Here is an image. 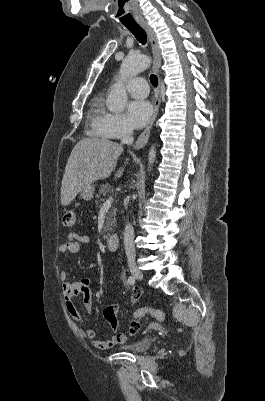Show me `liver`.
I'll list each match as a JSON object with an SVG mask.
<instances>
[{"mask_svg":"<svg viewBox=\"0 0 265 401\" xmlns=\"http://www.w3.org/2000/svg\"><path fill=\"white\" fill-rule=\"evenodd\" d=\"M123 146L106 138H82L76 142L65 166L61 184V205L67 207L81 188L100 178H107L117 164ZM129 160V158H126ZM123 166L115 178L122 176Z\"/></svg>","mask_w":265,"mask_h":401,"instance_id":"liver-1","label":"liver"}]
</instances>
